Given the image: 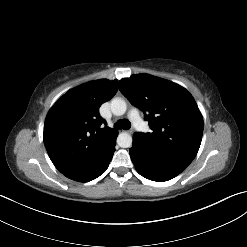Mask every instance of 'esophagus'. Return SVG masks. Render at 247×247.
Listing matches in <instances>:
<instances>
[{"label": "esophagus", "mask_w": 247, "mask_h": 247, "mask_svg": "<svg viewBox=\"0 0 247 247\" xmlns=\"http://www.w3.org/2000/svg\"><path fill=\"white\" fill-rule=\"evenodd\" d=\"M124 132L132 133V130H127V131H124Z\"/></svg>", "instance_id": "1"}]
</instances>
